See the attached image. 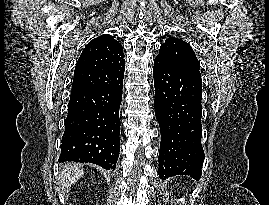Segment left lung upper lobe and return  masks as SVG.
<instances>
[{"label":"left lung upper lobe","instance_id":"obj_1","mask_svg":"<svg viewBox=\"0 0 269 205\" xmlns=\"http://www.w3.org/2000/svg\"><path fill=\"white\" fill-rule=\"evenodd\" d=\"M157 57L178 68L200 70V63L191 46L179 38L169 37L161 45Z\"/></svg>","mask_w":269,"mask_h":205}]
</instances>
